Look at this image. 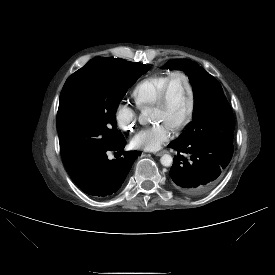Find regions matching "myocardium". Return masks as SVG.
I'll list each match as a JSON object with an SVG mask.
<instances>
[{
	"label": "myocardium",
	"mask_w": 275,
	"mask_h": 275,
	"mask_svg": "<svg viewBox=\"0 0 275 275\" xmlns=\"http://www.w3.org/2000/svg\"><path fill=\"white\" fill-rule=\"evenodd\" d=\"M176 77H182L186 83V86L188 88L189 92V103H188V108L186 111L185 116L183 117L182 120H180L175 126L173 127L175 130L182 129L186 125L190 123L192 120L195 107H196V94H195V89L193 86V83L191 81V78L189 75L182 71V70H175L170 73L164 87L162 88L157 101L153 105L154 108H162L167 105L168 100H169V94H170V89L172 86V82Z\"/></svg>",
	"instance_id": "myocardium-1"
}]
</instances>
